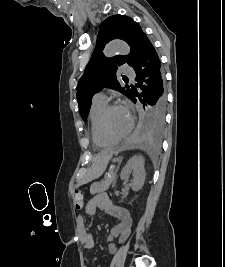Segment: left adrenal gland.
<instances>
[{
    "label": "left adrenal gland",
    "instance_id": "obj_1",
    "mask_svg": "<svg viewBox=\"0 0 225 267\" xmlns=\"http://www.w3.org/2000/svg\"><path fill=\"white\" fill-rule=\"evenodd\" d=\"M120 164H121V161H119L116 171H118Z\"/></svg>",
    "mask_w": 225,
    "mask_h": 267
}]
</instances>
